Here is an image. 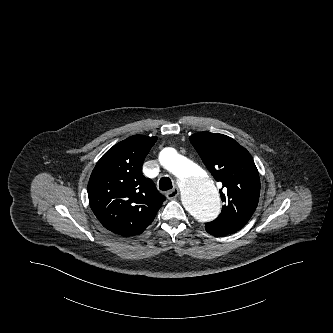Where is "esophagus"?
<instances>
[{
    "mask_svg": "<svg viewBox=\"0 0 333 333\" xmlns=\"http://www.w3.org/2000/svg\"><path fill=\"white\" fill-rule=\"evenodd\" d=\"M178 195H179V189L177 187L166 193V197L168 199H175Z\"/></svg>",
    "mask_w": 333,
    "mask_h": 333,
    "instance_id": "34e87169",
    "label": "esophagus"
}]
</instances>
